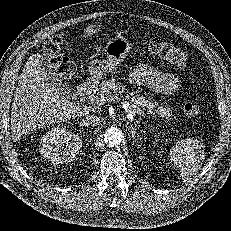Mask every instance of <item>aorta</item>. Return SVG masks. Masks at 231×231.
I'll return each instance as SVG.
<instances>
[{
    "mask_svg": "<svg viewBox=\"0 0 231 231\" xmlns=\"http://www.w3.org/2000/svg\"><path fill=\"white\" fill-rule=\"evenodd\" d=\"M103 139L106 145L116 147L124 140V133L117 126H111L105 130Z\"/></svg>",
    "mask_w": 231,
    "mask_h": 231,
    "instance_id": "aorta-1",
    "label": "aorta"
}]
</instances>
